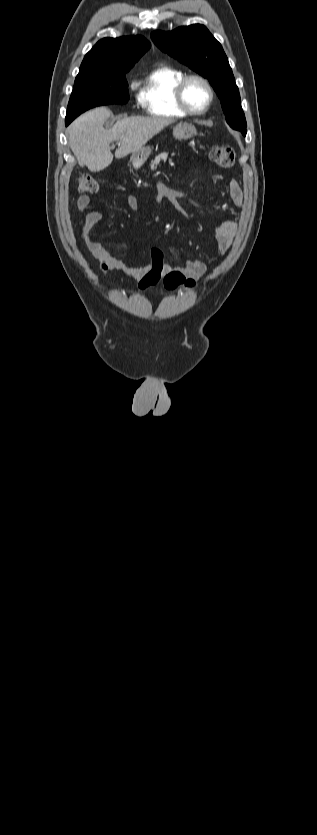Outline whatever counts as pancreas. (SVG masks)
<instances>
[{
  "label": "pancreas",
  "instance_id": "obj_1",
  "mask_svg": "<svg viewBox=\"0 0 317 835\" xmlns=\"http://www.w3.org/2000/svg\"><path fill=\"white\" fill-rule=\"evenodd\" d=\"M174 155V154H173ZM168 158V153L164 152L160 155L156 156L155 159L151 162V170H155L157 165L160 163L161 160L166 161Z\"/></svg>",
  "mask_w": 317,
  "mask_h": 835
}]
</instances>
